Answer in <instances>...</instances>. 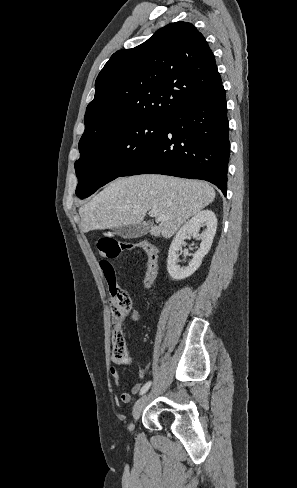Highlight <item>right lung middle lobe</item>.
<instances>
[{
	"mask_svg": "<svg viewBox=\"0 0 297 488\" xmlns=\"http://www.w3.org/2000/svg\"><path fill=\"white\" fill-rule=\"evenodd\" d=\"M167 120L144 119L94 141L80 142V159L75 162L76 195L86 198L119 177L157 140Z\"/></svg>",
	"mask_w": 297,
	"mask_h": 488,
	"instance_id": "dd1d6c3e",
	"label": "right lung middle lobe"
}]
</instances>
